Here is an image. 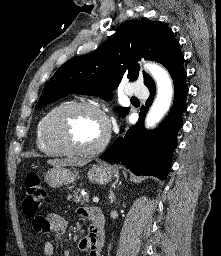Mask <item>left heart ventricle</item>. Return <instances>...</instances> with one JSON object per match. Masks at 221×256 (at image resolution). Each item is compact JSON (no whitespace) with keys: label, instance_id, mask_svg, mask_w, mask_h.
Segmentation results:
<instances>
[{"label":"left heart ventricle","instance_id":"1","mask_svg":"<svg viewBox=\"0 0 221 256\" xmlns=\"http://www.w3.org/2000/svg\"><path fill=\"white\" fill-rule=\"evenodd\" d=\"M59 131L73 145L86 148L102 140L106 125L96 113L80 109L71 111L61 118Z\"/></svg>","mask_w":221,"mask_h":256}]
</instances>
